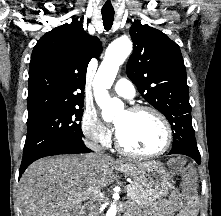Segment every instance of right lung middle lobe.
<instances>
[{"instance_id":"right-lung-middle-lobe-1","label":"right lung middle lobe","mask_w":221,"mask_h":216,"mask_svg":"<svg viewBox=\"0 0 221 216\" xmlns=\"http://www.w3.org/2000/svg\"><path fill=\"white\" fill-rule=\"evenodd\" d=\"M83 104L49 110L28 117L23 157L53 144L82 140Z\"/></svg>"}]
</instances>
